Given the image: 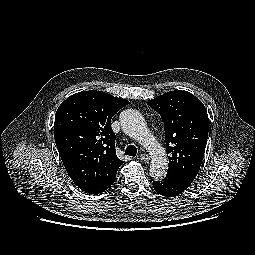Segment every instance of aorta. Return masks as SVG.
<instances>
[{"instance_id": "aorta-1", "label": "aorta", "mask_w": 255, "mask_h": 255, "mask_svg": "<svg viewBox=\"0 0 255 255\" xmlns=\"http://www.w3.org/2000/svg\"><path fill=\"white\" fill-rule=\"evenodd\" d=\"M119 121L122 130L130 138L142 144L150 153V176L157 180L164 178L168 170L166 152L148 130L141 113L134 109H126L121 112Z\"/></svg>"}]
</instances>
